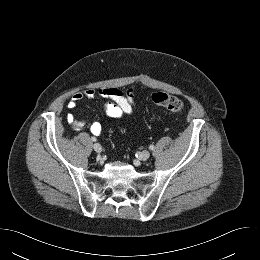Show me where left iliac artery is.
<instances>
[{
	"label": "left iliac artery",
	"instance_id": "left-iliac-artery-1",
	"mask_svg": "<svg viewBox=\"0 0 260 260\" xmlns=\"http://www.w3.org/2000/svg\"><path fill=\"white\" fill-rule=\"evenodd\" d=\"M154 148H155L154 145H150V146H149V149H150V150H154Z\"/></svg>",
	"mask_w": 260,
	"mask_h": 260
}]
</instances>
